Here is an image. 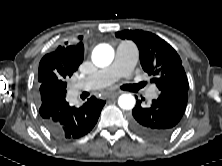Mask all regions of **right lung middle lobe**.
<instances>
[{"label": "right lung middle lobe", "mask_w": 222, "mask_h": 166, "mask_svg": "<svg viewBox=\"0 0 222 166\" xmlns=\"http://www.w3.org/2000/svg\"><path fill=\"white\" fill-rule=\"evenodd\" d=\"M77 69V67H74L70 64L39 65L38 82H50L62 88H66V80L71 77Z\"/></svg>", "instance_id": "obj_1"}]
</instances>
